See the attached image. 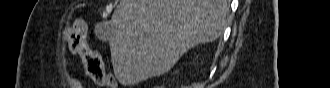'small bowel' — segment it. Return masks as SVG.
Segmentation results:
<instances>
[{
  "label": "small bowel",
  "mask_w": 330,
  "mask_h": 88,
  "mask_svg": "<svg viewBox=\"0 0 330 88\" xmlns=\"http://www.w3.org/2000/svg\"><path fill=\"white\" fill-rule=\"evenodd\" d=\"M79 24L81 25V27L83 29V33H84V31H85V25L83 23H79Z\"/></svg>",
  "instance_id": "c3829d8e"
}]
</instances>
